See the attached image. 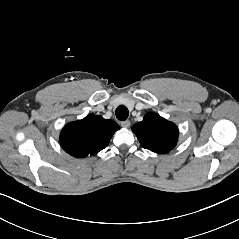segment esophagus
<instances>
[{
    "label": "esophagus",
    "mask_w": 239,
    "mask_h": 239,
    "mask_svg": "<svg viewBox=\"0 0 239 239\" xmlns=\"http://www.w3.org/2000/svg\"><path fill=\"white\" fill-rule=\"evenodd\" d=\"M121 126L124 127V128H129L130 127V121H128V120L122 121Z\"/></svg>",
    "instance_id": "34e87169"
}]
</instances>
